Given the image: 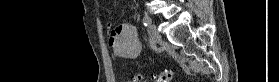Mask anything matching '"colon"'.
<instances>
[{"instance_id":"colon-1","label":"colon","mask_w":279,"mask_h":82,"mask_svg":"<svg viewBox=\"0 0 279 82\" xmlns=\"http://www.w3.org/2000/svg\"><path fill=\"white\" fill-rule=\"evenodd\" d=\"M174 68H170V69H166L163 73V75L159 78V80H157V82H169L171 81L173 75H174ZM138 78L141 79L142 76L138 75ZM136 81V80H133Z\"/></svg>"}]
</instances>
